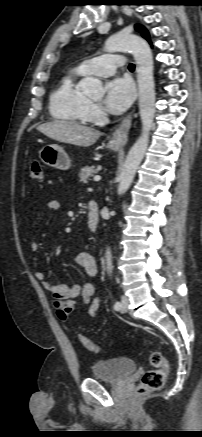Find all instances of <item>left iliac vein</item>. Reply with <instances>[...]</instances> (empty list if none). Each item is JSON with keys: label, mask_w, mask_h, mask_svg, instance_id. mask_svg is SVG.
<instances>
[{"label": "left iliac vein", "mask_w": 202, "mask_h": 437, "mask_svg": "<svg viewBox=\"0 0 202 437\" xmlns=\"http://www.w3.org/2000/svg\"><path fill=\"white\" fill-rule=\"evenodd\" d=\"M128 304H129L128 298L125 295H123L121 297V308H120V311L122 313H124L128 310Z\"/></svg>", "instance_id": "4c4485c4"}]
</instances>
